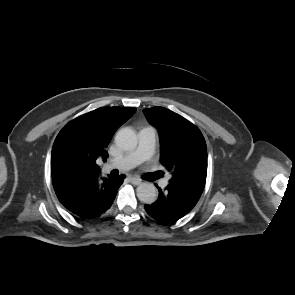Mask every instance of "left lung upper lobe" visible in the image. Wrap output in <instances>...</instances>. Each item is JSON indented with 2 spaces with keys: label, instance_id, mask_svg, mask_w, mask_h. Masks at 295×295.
Segmentation results:
<instances>
[{
  "label": "left lung upper lobe",
  "instance_id": "1",
  "mask_svg": "<svg viewBox=\"0 0 295 295\" xmlns=\"http://www.w3.org/2000/svg\"><path fill=\"white\" fill-rule=\"evenodd\" d=\"M143 113L160 133V161L172 175L169 184L203 192L207 176V147L201 131L164 107L144 109Z\"/></svg>",
  "mask_w": 295,
  "mask_h": 295
}]
</instances>
